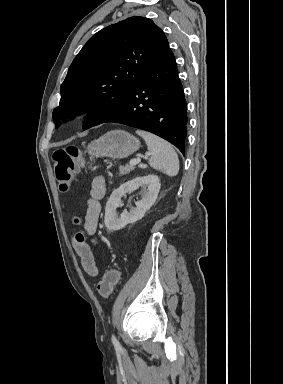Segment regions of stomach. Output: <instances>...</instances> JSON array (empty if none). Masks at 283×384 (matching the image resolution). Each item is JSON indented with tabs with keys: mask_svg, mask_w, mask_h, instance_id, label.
<instances>
[{
	"mask_svg": "<svg viewBox=\"0 0 283 384\" xmlns=\"http://www.w3.org/2000/svg\"><path fill=\"white\" fill-rule=\"evenodd\" d=\"M139 146V140L128 132L112 130L88 144L87 152L91 158H118L120 160V158H127L136 152Z\"/></svg>",
	"mask_w": 283,
	"mask_h": 384,
	"instance_id": "obj_1",
	"label": "stomach"
}]
</instances>
